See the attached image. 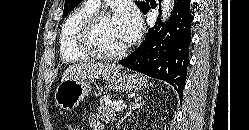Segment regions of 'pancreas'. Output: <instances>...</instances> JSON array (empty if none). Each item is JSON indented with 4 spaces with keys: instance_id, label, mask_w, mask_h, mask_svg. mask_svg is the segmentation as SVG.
Wrapping results in <instances>:
<instances>
[{
    "instance_id": "1",
    "label": "pancreas",
    "mask_w": 249,
    "mask_h": 130,
    "mask_svg": "<svg viewBox=\"0 0 249 130\" xmlns=\"http://www.w3.org/2000/svg\"><path fill=\"white\" fill-rule=\"evenodd\" d=\"M110 101V96H103L100 99V104L97 108V116L100 120L104 121L105 123H109L111 120L114 119L115 116L116 105L110 103Z\"/></svg>"
}]
</instances>
